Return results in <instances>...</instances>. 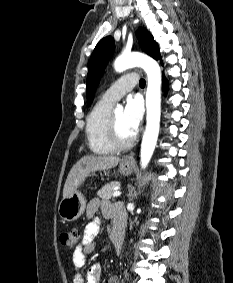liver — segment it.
Listing matches in <instances>:
<instances>
[{
  "label": "liver",
  "mask_w": 233,
  "mask_h": 283,
  "mask_svg": "<svg viewBox=\"0 0 233 283\" xmlns=\"http://www.w3.org/2000/svg\"><path fill=\"white\" fill-rule=\"evenodd\" d=\"M119 162L118 156H83L74 164L67 176L63 198L73 194L91 172L114 168Z\"/></svg>",
  "instance_id": "obj_1"
}]
</instances>
